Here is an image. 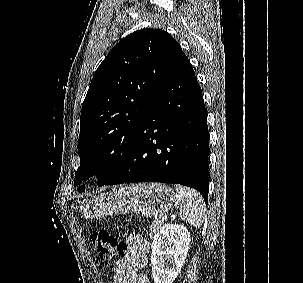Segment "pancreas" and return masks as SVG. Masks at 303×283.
Wrapping results in <instances>:
<instances>
[{"label":"pancreas","instance_id":"pancreas-1","mask_svg":"<svg viewBox=\"0 0 303 283\" xmlns=\"http://www.w3.org/2000/svg\"><path fill=\"white\" fill-rule=\"evenodd\" d=\"M160 225L157 222H153L150 226V238L153 239L155 235L160 231Z\"/></svg>","mask_w":303,"mask_h":283}]
</instances>
